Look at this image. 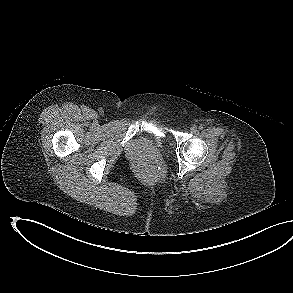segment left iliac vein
<instances>
[{
  "label": "left iliac vein",
  "mask_w": 293,
  "mask_h": 293,
  "mask_svg": "<svg viewBox=\"0 0 293 293\" xmlns=\"http://www.w3.org/2000/svg\"><path fill=\"white\" fill-rule=\"evenodd\" d=\"M190 130H191V133H193V134H196L197 133V127L195 126V125H193L191 128H190Z\"/></svg>",
  "instance_id": "obj_1"
}]
</instances>
